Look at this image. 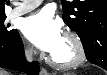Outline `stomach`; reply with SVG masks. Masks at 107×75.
Segmentation results:
<instances>
[{"label":"stomach","instance_id":"stomach-1","mask_svg":"<svg viewBox=\"0 0 107 75\" xmlns=\"http://www.w3.org/2000/svg\"><path fill=\"white\" fill-rule=\"evenodd\" d=\"M64 75H76V74H74V73H67V74H64Z\"/></svg>","mask_w":107,"mask_h":75}]
</instances>
